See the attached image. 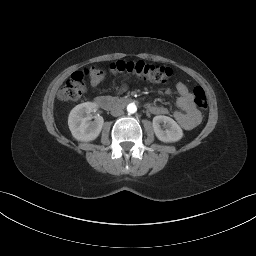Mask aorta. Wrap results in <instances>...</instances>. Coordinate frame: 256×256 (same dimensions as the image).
<instances>
[{
    "mask_svg": "<svg viewBox=\"0 0 256 256\" xmlns=\"http://www.w3.org/2000/svg\"><path fill=\"white\" fill-rule=\"evenodd\" d=\"M137 111V107L134 103H130L128 104L127 106V112L130 113V114H133Z\"/></svg>",
    "mask_w": 256,
    "mask_h": 256,
    "instance_id": "obj_1",
    "label": "aorta"
}]
</instances>
